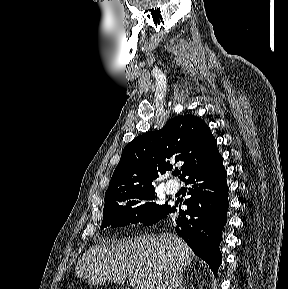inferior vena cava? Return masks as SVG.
I'll use <instances>...</instances> for the list:
<instances>
[{
    "label": "inferior vena cava",
    "mask_w": 288,
    "mask_h": 289,
    "mask_svg": "<svg viewBox=\"0 0 288 289\" xmlns=\"http://www.w3.org/2000/svg\"><path fill=\"white\" fill-rule=\"evenodd\" d=\"M179 282V271L171 265L165 269L158 289H179Z\"/></svg>",
    "instance_id": "obj_1"
}]
</instances>
